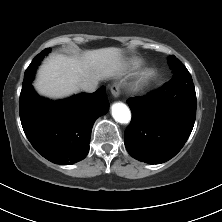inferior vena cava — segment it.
<instances>
[{
    "mask_svg": "<svg viewBox=\"0 0 222 222\" xmlns=\"http://www.w3.org/2000/svg\"><path fill=\"white\" fill-rule=\"evenodd\" d=\"M97 86H98V81L96 80L84 81L80 83V88L88 93L96 91Z\"/></svg>",
    "mask_w": 222,
    "mask_h": 222,
    "instance_id": "obj_1",
    "label": "inferior vena cava"
}]
</instances>
